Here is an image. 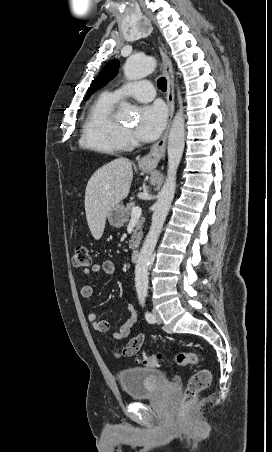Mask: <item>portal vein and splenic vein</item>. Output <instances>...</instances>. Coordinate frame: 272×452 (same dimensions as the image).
<instances>
[{"label":"portal vein and splenic vein","mask_w":272,"mask_h":452,"mask_svg":"<svg viewBox=\"0 0 272 452\" xmlns=\"http://www.w3.org/2000/svg\"><path fill=\"white\" fill-rule=\"evenodd\" d=\"M142 213V209L138 206H135L132 208V212H131V218L132 219H137L141 216Z\"/></svg>","instance_id":"18ae733b"}]
</instances>
